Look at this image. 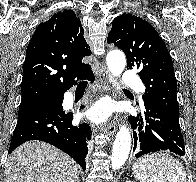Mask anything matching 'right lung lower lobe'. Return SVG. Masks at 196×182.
I'll return each mask as SVG.
<instances>
[{"label": "right lung lower lobe", "mask_w": 196, "mask_h": 182, "mask_svg": "<svg viewBox=\"0 0 196 182\" xmlns=\"http://www.w3.org/2000/svg\"><path fill=\"white\" fill-rule=\"evenodd\" d=\"M80 78L95 79L91 69ZM62 101L63 95L60 102L50 109L18 117L8 153L26 141L41 140L61 149L85 169L87 141L92 133L90 126L86 123L72 125L73 114L63 111Z\"/></svg>", "instance_id": "obj_1"}]
</instances>
